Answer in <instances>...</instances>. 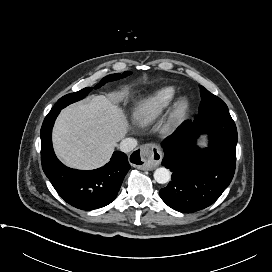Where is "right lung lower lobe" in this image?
Returning a JSON list of instances; mask_svg holds the SVG:
<instances>
[{"mask_svg": "<svg viewBox=\"0 0 272 272\" xmlns=\"http://www.w3.org/2000/svg\"><path fill=\"white\" fill-rule=\"evenodd\" d=\"M61 108L51 110L41 127L42 168L53 187L70 205L90 211L110 204L117 196L130 169L127 156L115 151L110 162L101 168L82 171L63 165L52 147V128Z\"/></svg>", "mask_w": 272, "mask_h": 272, "instance_id": "obj_1", "label": "right lung lower lobe"}]
</instances>
